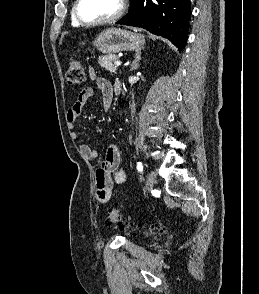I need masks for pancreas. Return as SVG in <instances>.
I'll return each mask as SVG.
<instances>
[{
  "mask_svg": "<svg viewBox=\"0 0 259 294\" xmlns=\"http://www.w3.org/2000/svg\"><path fill=\"white\" fill-rule=\"evenodd\" d=\"M118 60V56L116 55H104L99 57L98 63L101 67L105 68V70L110 73H116V66H114V62Z\"/></svg>",
  "mask_w": 259,
  "mask_h": 294,
  "instance_id": "1",
  "label": "pancreas"
}]
</instances>
